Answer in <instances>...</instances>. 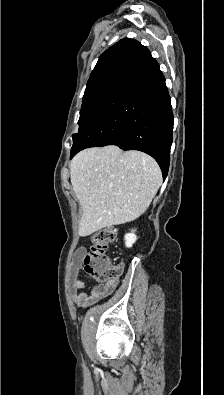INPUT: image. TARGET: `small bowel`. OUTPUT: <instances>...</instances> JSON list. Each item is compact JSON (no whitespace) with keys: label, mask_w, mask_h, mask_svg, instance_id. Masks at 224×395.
<instances>
[{"label":"small bowel","mask_w":224,"mask_h":395,"mask_svg":"<svg viewBox=\"0 0 224 395\" xmlns=\"http://www.w3.org/2000/svg\"><path fill=\"white\" fill-rule=\"evenodd\" d=\"M86 254V248L80 247L73 258L69 275V291L78 306L85 307L96 303L103 297L111 294L117 287L118 281L101 284L93 287L89 291L85 288V283L81 279L82 262Z\"/></svg>","instance_id":"1"}]
</instances>
